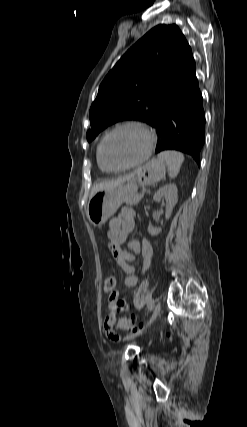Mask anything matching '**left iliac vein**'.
Wrapping results in <instances>:
<instances>
[{
    "instance_id": "1",
    "label": "left iliac vein",
    "mask_w": 247,
    "mask_h": 427,
    "mask_svg": "<svg viewBox=\"0 0 247 427\" xmlns=\"http://www.w3.org/2000/svg\"><path fill=\"white\" fill-rule=\"evenodd\" d=\"M160 311H161V303L158 302L153 309V313H152V316H151V318L147 324V327L157 318V316L160 314ZM141 333H142V330H140L134 334H131L127 337V340H132V339L136 338L137 336H139Z\"/></svg>"
}]
</instances>
